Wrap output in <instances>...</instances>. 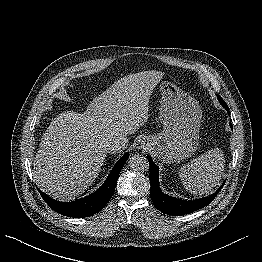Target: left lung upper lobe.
Wrapping results in <instances>:
<instances>
[{
  "label": "left lung upper lobe",
  "instance_id": "1",
  "mask_svg": "<svg viewBox=\"0 0 262 262\" xmlns=\"http://www.w3.org/2000/svg\"><path fill=\"white\" fill-rule=\"evenodd\" d=\"M217 98H218L219 102L222 104V106L226 105L225 101L219 95L217 96Z\"/></svg>",
  "mask_w": 262,
  "mask_h": 262
}]
</instances>
